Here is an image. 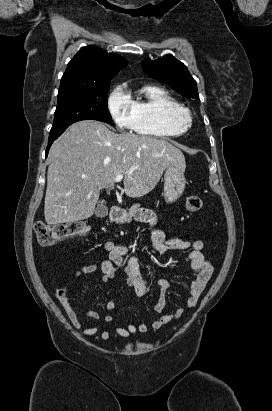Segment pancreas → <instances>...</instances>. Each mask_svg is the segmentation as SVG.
Instances as JSON below:
<instances>
[{
  "label": "pancreas",
  "mask_w": 272,
  "mask_h": 411,
  "mask_svg": "<svg viewBox=\"0 0 272 411\" xmlns=\"http://www.w3.org/2000/svg\"><path fill=\"white\" fill-rule=\"evenodd\" d=\"M140 210H141L140 205H139V204H134V205L129 209V212H128V215H127L128 220H130L131 217L134 216V215H135L137 212H139Z\"/></svg>",
  "instance_id": "cf45deb5"
}]
</instances>
